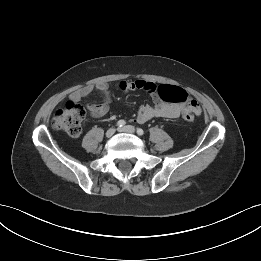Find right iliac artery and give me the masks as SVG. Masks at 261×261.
<instances>
[{
    "label": "right iliac artery",
    "mask_w": 261,
    "mask_h": 261,
    "mask_svg": "<svg viewBox=\"0 0 261 261\" xmlns=\"http://www.w3.org/2000/svg\"><path fill=\"white\" fill-rule=\"evenodd\" d=\"M125 124H126V122H125L124 120H119V121L117 122V126H118V127H123Z\"/></svg>",
    "instance_id": "right-iliac-artery-1"
}]
</instances>
